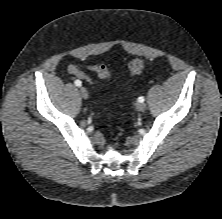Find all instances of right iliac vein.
<instances>
[{
    "mask_svg": "<svg viewBox=\"0 0 222 219\" xmlns=\"http://www.w3.org/2000/svg\"><path fill=\"white\" fill-rule=\"evenodd\" d=\"M79 91H80L81 96L84 99L88 98L89 94H88V91H87V89L85 87H80Z\"/></svg>",
    "mask_w": 222,
    "mask_h": 219,
    "instance_id": "obj_1",
    "label": "right iliac vein"
}]
</instances>
